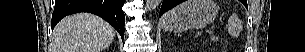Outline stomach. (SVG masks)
I'll use <instances>...</instances> for the list:
<instances>
[{
  "label": "stomach",
  "mask_w": 305,
  "mask_h": 52,
  "mask_svg": "<svg viewBox=\"0 0 305 52\" xmlns=\"http://www.w3.org/2000/svg\"><path fill=\"white\" fill-rule=\"evenodd\" d=\"M218 14L213 0H187L168 11L162 19L166 31L181 33L212 23Z\"/></svg>",
  "instance_id": "stomach-1"
}]
</instances>
